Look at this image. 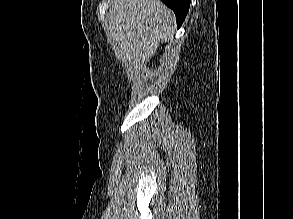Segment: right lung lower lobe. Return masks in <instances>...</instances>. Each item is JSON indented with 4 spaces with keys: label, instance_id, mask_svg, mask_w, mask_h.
<instances>
[{
    "label": "right lung lower lobe",
    "instance_id": "1",
    "mask_svg": "<svg viewBox=\"0 0 293 219\" xmlns=\"http://www.w3.org/2000/svg\"><path fill=\"white\" fill-rule=\"evenodd\" d=\"M171 8L175 15L178 28L182 25L190 7L191 0H161Z\"/></svg>",
    "mask_w": 293,
    "mask_h": 219
}]
</instances>
